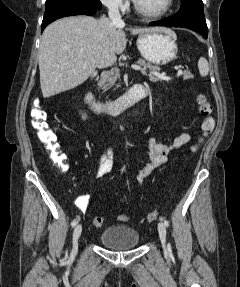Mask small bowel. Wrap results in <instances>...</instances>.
<instances>
[{"mask_svg": "<svg viewBox=\"0 0 240 287\" xmlns=\"http://www.w3.org/2000/svg\"><path fill=\"white\" fill-rule=\"evenodd\" d=\"M144 87V86H143ZM148 93V88L144 87ZM190 134L183 133L175 137L172 141L168 143L158 142L155 138L149 139L148 149L149 158L143 169L137 174L136 181L142 183L143 180L156 168L167 163L169 161L170 155L176 150L180 149L186 143L190 141ZM114 164L113 151L111 148H107L99 158L97 176L105 177L109 175ZM76 206L81 210L85 211L88 203L89 196L82 195L78 197L75 201Z\"/></svg>", "mask_w": 240, "mask_h": 287, "instance_id": "small-bowel-1", "label": "small bowel"}]
</instances>
